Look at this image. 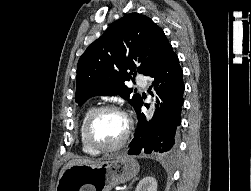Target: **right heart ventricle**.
I'll use <instances>...</instances> for the list:
<instances>
[{"mask_svg": "<svg viewBox=\"0 0 251 191\" xmlns=\"http://www.w3.org/2000/svg\"><path fill=\"white\" fill-rule=\"evenodd\" d=\"M93 107H88L82 117H81V121H80V125H79V132H78V146H79V150L82 154H84L85 156H89V157H96L99 155V153H96L92 150H90L89 148H87L83 142V139H82V125H83V122L85 120V118L87 117V115L92 111Z\"/></svg>", "mask_w": 251, "mask_h": 191, "instance_id": "e07e8e85", "label": "right heart ventricle"}]
</instances>
